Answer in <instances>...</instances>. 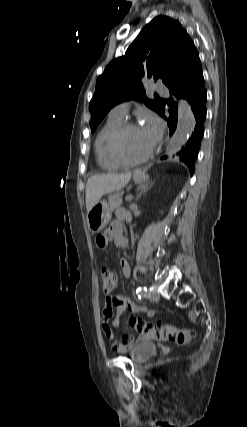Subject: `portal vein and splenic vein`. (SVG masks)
I'll list each match as a JSON object with an SVG mask.
<instances>
[{"instance_id":"obj_1","label":"portal vein and splenic vein","mask_w":247,"mask_h":427,"mask_svg":"<svg viewBox=\"0 0 247 427\" xmlns=\"http://www.w3.org/2000/svg\"><path fill=\"white\" fill-rule=\"evenodd\" d=\"M133 199V196L130 194V195H127L126 197H125V200L126 201H131Z\"/></svg>"}]
</instances>
